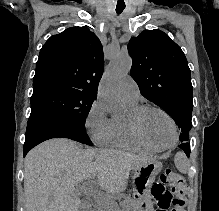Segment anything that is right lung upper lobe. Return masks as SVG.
Listing matches in <instances>:
<instances>
[{
    "label": "right lung upper lobe",
    "instance_id": "obj_1",
    "mask_svg": "<svg viewBox=\"0 0 219 211\" xmlns=\"http://www.w3.org/2000/svg\"><path fill=\"white\" fill-rule=\"evenodd\" d=\"M104 70L103 48L87 27H72L51 36L40 50L33 92L62 86L97 95Z\"/></svg>",
    "mask_w": 219,
    "mask_h": 211
}]
</instances>
